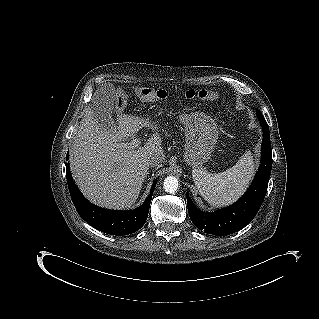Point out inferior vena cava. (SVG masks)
<instances>
[{
    "instance_id": "1",
    "label": "inferior vena cava",
    "mask_w": 319,
    "mask_h": 319,
    "mask_svg": "<svg viewBox=\"0 0 319 319\" xmlns=\"http://www.w3.org/2000/svg\"><path fill=\"white\" fill-rule=\"evenodd\" d=\"M163 161V158L160 155H153L149 157L146 161V165L148 167H156L159 166Z\"/></svg>"
}]
</instances>
